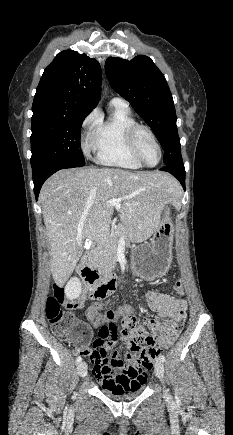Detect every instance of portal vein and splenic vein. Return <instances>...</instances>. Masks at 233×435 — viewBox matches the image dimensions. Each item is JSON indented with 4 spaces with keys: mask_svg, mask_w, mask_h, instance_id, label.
<instances>
[{
    "mask_svg": "<svg viewBox=\"0 0 233 435\" xmlns=\"http://www.w3.org/2000/svg\"><path fill=\"white\" fill-rule=\"evenodd\" d=\"M121 201H122L121 198H116V199H112V200L107 201L105 203V205H113V206L119 207Z\"/></svg>",
    "mask_w": 233,
    "mask_h": 435,
    "instance_id": "18ae733b",
    "label": "portal vein and splenic vein"
}]
</instances>
